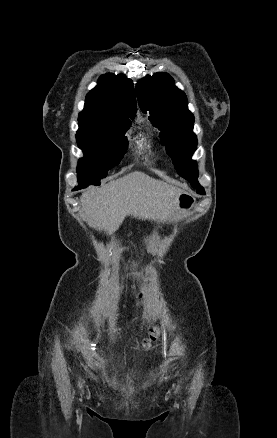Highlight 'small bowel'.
<instances>
[{
    "mask_svg": "<svg viewBox=\"0 0 277 438\" xmlns=\"http://www.w3.org/2000/svg\"><path fill=\"white\" fill-rule=\"evenodd\" d=\"M80 344H81L82 346H88V345L90 344V341H89L88 339H82V340L80 341ZM90 353H91L92 355H95L96 353H99V350H96L95 348H92V349L90 350Z\"/></svg>",
    "mask_w": 277,
    "mask_h": 438,
    "instance_id": "c3829d8e",
    "label": "small bowel"
}]
</instances>
